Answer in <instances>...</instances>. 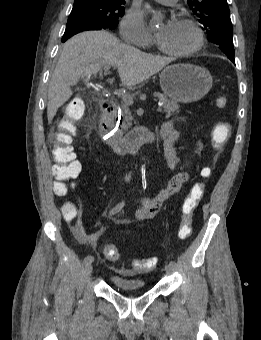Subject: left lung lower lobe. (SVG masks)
Returning a JSON list of instances; mask_svg holds the SVG:
<instances>
[{"label":"left lung lower lobe","instance_id":"obj_1","mask_svg":"<svg viewBox=\"0 0 261 340\" xmlns=\"http://www.w3.org/2000/svg\"><path fill=\"white\" fill-rule=\"evenodd\" d=\"M233 63H235V60H234V58H229Z\"/></svg>","mask_w":261,"mask_h":340}]
</instances>
